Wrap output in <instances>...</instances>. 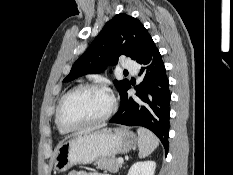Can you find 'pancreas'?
<instances>
[{"label": "pancreas", "instance_id": "1", "mask_svg": "<svg viewBox=\"0 0 233 175\" xmlns=\"http://www.w3.org/2000/svg\"><path fill=\"white\" fill-rule=\"evenodd\" d=\"M95 166H97V169L101 170H108L112 173H116L121 168V164L118 163L117 158L111 157V158H99L95 163Z\"/></svg>", "mask_w": 233, "mask_h": 175}]
</instances>
